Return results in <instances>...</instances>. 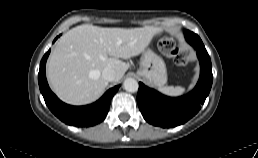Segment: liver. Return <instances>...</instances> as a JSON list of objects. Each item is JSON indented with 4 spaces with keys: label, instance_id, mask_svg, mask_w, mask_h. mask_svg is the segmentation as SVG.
I'll use <instances>...</instances> for the list:
<instances>
[{
    "label": "liver",
    "instance_id": "6515ba94",
    "mask_svg": "<svg viewBox=\"0 0 258 158\" xmlns=\"http://www.w3.org/2000/svg\"><path fill=\"white\" fill-rule=\"evenodd\" d=\"M158 28H102L84 24L66 32L57 42L47 64V77L57 96L69 104L90 103L108 85L101 72L109 67L118 82L129 59L142 53Z\"/></svg>",
    "mask_w": 258,
    "mask_h": 158
}]
</instances>
